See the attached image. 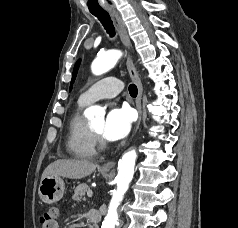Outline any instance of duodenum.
<instances>
[{
	"mask_svg": "<svg viewBox=\"0 0 238 228\" xmlns=\"http://www.w3.org/2000/svg\"><path fill=\"white\" fill-rule=\"evenodd\" d=\"M86 218L93 223V228H99V223L101 222L102 215L98 210H90L86 214Z\"/></svg>",
	"mask_w": 238,
	"mask_h": 228,
	"instance_id": "1",
	"label": "duodenum"
}]
</instances>
